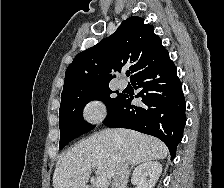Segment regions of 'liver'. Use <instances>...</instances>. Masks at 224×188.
Returning <instances> with one entry per match:
<instances>
[{"instance_id":"obj_1","label":"liver","mask_w":224,"mask_h":188,"mask_svg":"<svg viewBox=\"0 0 224 188\" xmlns=\"http://www.w3.org/2000/svg\"><path fill=\"white\" fill-rule=\"evenodd\" d=\"M168 153L166 145L155 137L128 129H105L80 141L60 157L53 187L86 188L91 170L80 174H74L75 171L96 167L98 176L111 179L122 159L137 165L164 159Z\"/></svg>"}]
</instances>
